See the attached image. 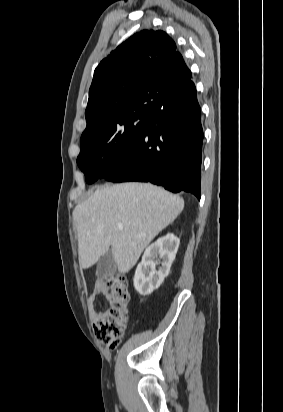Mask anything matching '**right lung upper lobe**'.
<instances>
[{
	"mask_svg": "<svg viewBox=\"0 0 283 412\" xmlns=\"http://www.w3.org/2000/svg\"><path fill=\"white\" fill-rule=\"evenodd\" d=\"M191 78L175 42L163 31L134 34L94 71L82 136L116 114L146 101H160ZM81 136V137H82Z\"/></svg>",
	"mask_w": 283,
	"mask_h": 412,
	"instance_id": "obj_1",
	"label": "right lung upper lobe"
}]
</instances>
